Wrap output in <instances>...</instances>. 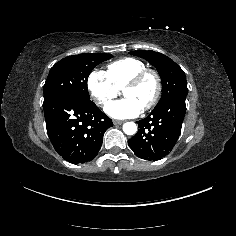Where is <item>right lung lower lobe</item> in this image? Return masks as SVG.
<instances>
[{
	"label": "right lung lower lobe",
	"mask_w": 236,
	"mask_h": 236,
	"mask_svg": "<svg viewBox=\"0 0 236 236\" xmlns=\"http://www.w3.org/2000/svg\"><path fill=\"white\" fill-rule=\"evenodd\" d=\"M49 139L66 161L79 164L93 160L105 131L113 126L92 101L56 96L43 103Z\"/></svg>",
	"instance_id": "98d812e1"
}]
</instances>
